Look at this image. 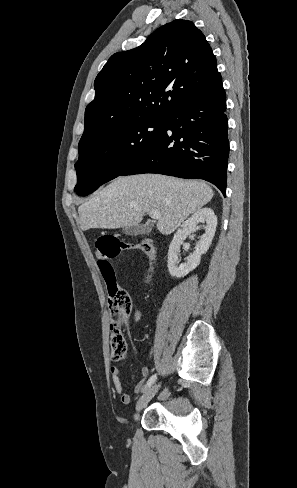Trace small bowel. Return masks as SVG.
I'll return each mask as SVG.
<instances>
[{
  "label": "small bowel",
  "mask_w": 297,
  "mask_h": 488,
  "mask_svg": "<svg viewBox=\"0 0 297 488\" xmlns=\"http://www.w3.org/2000/svg\"><path fill=\"white\" fill-rule=\"evenodd\" d=\"M132 319L135 322H139L142 319V313L138 310L133 312ZM129 321V315L124 318L123 323H127ZM149 369L147 367H142L140 370V380L134 386V392L139 393L144 390L145 381L148 377ZM110 376L113 383V387L116 393L120 396L121 402L123 404H130L132 401V397L123 392L122 383L120 380V369L117 366L110 367Z\"/></svg>",
  "instance_id": "c3829d8e"
}]
</instances>
